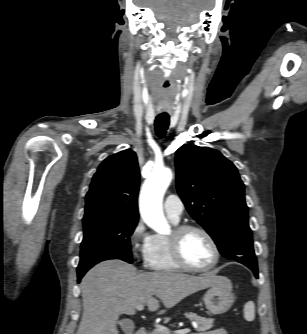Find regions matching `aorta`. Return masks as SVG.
I'll use <instances>...</instances> for the list:
<instances>
[{"instance_id":"aorta-1","label":"aorta","mask_w":307,"mask_h":334,"mask_svg":"<svg viewBox=\"0 0 307 334\" xmlns=\"http://www.w3.org/2000/svg\"><path fill=\"white\" fill-rule=\"evenodd\" d=\"M171 180L170 169H154L145 181L139 197V208L143 220L159 234H167L170 231L163 213L162 200Z\"/></svg>"}]
</instances>
